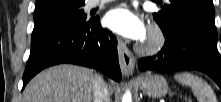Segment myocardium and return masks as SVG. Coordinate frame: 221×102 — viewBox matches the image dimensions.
<instances>
[{"mask_svg": "<svg viewBox=\"0 0 221 102\" xmlns=\"http://www.w3.org/2000/svg\"><path fill=\"white\" fill-rule=\"evenodd\" d=\"M164 45V35L159 27L152 26L148 30L140 45V51L146 54H153L159 51Z\"/></svg>", "mask_w": 221, "mask_h": 102, "instance_id": "f54148a6", "label": "myocardium"}]
</instances>
